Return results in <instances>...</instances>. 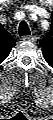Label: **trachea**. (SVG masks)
Returning a JSON list of instances; mask_svg holds the SVG:
<instances>
[{
    "instance_id": "1",
    "label": "trachea",
    "mask_w": 53,
    "mask_h": 120,
    "mask_svg": "<svg viewBox=\"0 0 53 120\" xmlns=\"http://www.w3.org/2000/svg\"><path fill=\"white\" fill-rule=\"evenodd\" d=\"M19 36H27V35H30V30H29V27H28V24L27 22L25 21H22L19 25Z\"/></svg>"
}]
</instances>
